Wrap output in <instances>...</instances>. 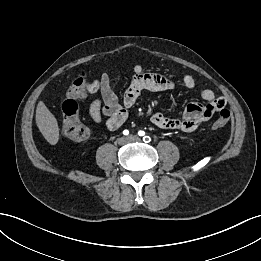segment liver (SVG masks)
<instances>
[{
  "instance_id": "6515ba94",
  "label": "liver",
  "mask_w": 261,
  "mask_h": 261,
  "mask_svg": "<svg viewBox=\"0 0 261 261\" xmlns=\"http://www.w3.org/2000/svg\"><path fill=\"white\" fill-rule=\"evenodd\" d=\"M36 124L49 144L55 145L58 142L59 126L57 119L43 101H39L36 108Z\"/></svg>"
}]
</instances>
